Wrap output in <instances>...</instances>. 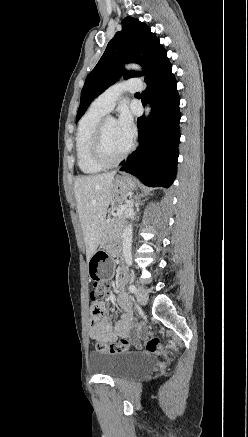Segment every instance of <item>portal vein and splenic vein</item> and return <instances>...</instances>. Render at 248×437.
<instances>
[{
	"label": "portal vein and splenic vein",
	"mask_w": 248,
	"mask_h": 437,
	"mask_svg": "<svg viewBox=\"0 0 248 437\" xmlns=\"http://www.w3.org/2000/svg\"><path fill=\"white\" fill-rule=\"evenodd\" d=\"M127 208L126 205H122L117 209V215H120L125 209Z\"/></svg>",
	"instance_id": "obj_1"
}]
</instances>
